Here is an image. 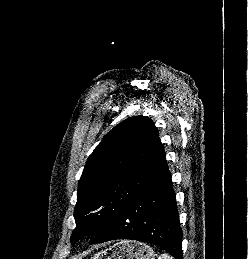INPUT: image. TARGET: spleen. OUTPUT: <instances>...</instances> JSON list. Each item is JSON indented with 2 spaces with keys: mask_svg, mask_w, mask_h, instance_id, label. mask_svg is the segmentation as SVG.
<instances>
[{
  "mask_svg": "<svg viewBox=\"0 0 248 259\" xmlns=\"http://www.w3.org/2000/svg\"><path fill=\"white\" fill-rule=\"evenodd\" d=\"M158 259H173L169 254L163 253L161 254Z\"/></svg>",
  "mask_w": 248,
  "mask_h": 259,
  "instance_id": "1",
  "label": "spleen"
}]
</instances>
